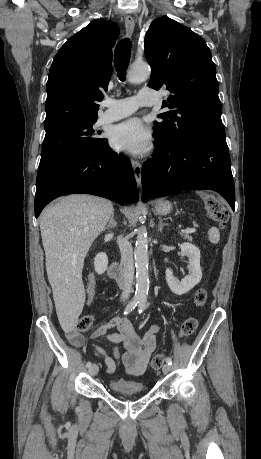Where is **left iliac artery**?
I'll return each mask as SVG.
<instances>
[{
  "label": "left iliac artery",
  "instance_id": "44dca946",
  "mask_svg": "<svg viewBox=\"0 0 261 459\" xmlns=\"http://www.w3.org/2000/svg\"><path fill=\"white\" fill-rule=\"evenodd\" d=\"M145 303H146L145 300H140V302H139V309H138V311H139L140 314L143 312V310H144V308H145ZM166 362H167V364L172 365V359H171L170 357H167V358H166Z\"/></svg>",
  "mask_w": 261,
  "mask_h": 459
}]
</instances>
